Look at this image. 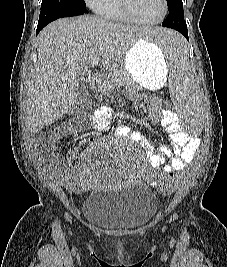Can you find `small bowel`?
<instances>
[{
  "label": "small bowel",
  "instance_id": "obj_1",
  "mask_svg": "<svg viewBox=\"0 0 227 267\" xmlns=\"http://www.w3.org/2000/svg\"><path fill=\"white\" fill-rule=\"evenodd\" d=\"M150 104V120L159 123L167 130L171 136L173 147L168 144L156 145L145 136L133 133L125 127H118L116 133L120 136H128L139 141L146 152L150 164L158 168L159 175H161V173H167V170H170V173L180 170L186 163L193 159L195 152L200 147V140L197 137H189L188 134H185L173 110L162 109L157 100L150 101ZM111 116L112 110L110 107L101 106L97 108L92 117L93 130L99 133L106 132L110 127ZM78 130L79 129L75 126H69L65 128L63 134L74 133ZM55 132L52 133V135H54ZM88 142V139H84L80 141L79 144L85 145ZM62 172L65 180L69 184L75 186H86L90 178L85 163L74 168L70 165L63 164ZM150 182L156 184L155 179H151Z\"/></svg>",
  "mask_w": 227,
  "mask_h": 267
}]
</instances>
